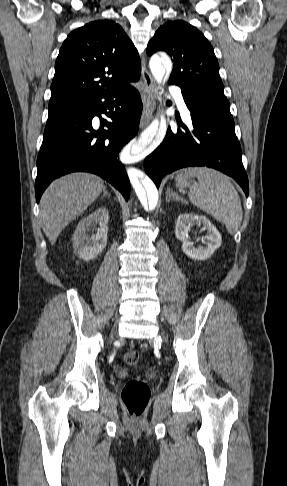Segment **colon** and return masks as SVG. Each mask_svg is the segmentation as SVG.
<instances>
[{"label":"colon","mask_w":287,"mask_h":486,"mask_svg":"<svg viewBox=\"0 0 287 486\" xmlns=\"http://www.w3.org/2000/svg\"><path fill=\"white\" fill-rule=\"evenodd\" d=\"M140 356L137 351L131 350L125 353L124 361L128 365H136ZM150 399V389L146 382L133 378L128 380L122 390L123 403L132 418H139Z\"/></svg>","instance_id":"5ec220e1"}]
</instances>
